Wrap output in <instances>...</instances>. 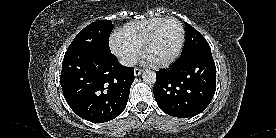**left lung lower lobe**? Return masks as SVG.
Returning <instances> with one entry per match:
<instances>
[{
    "label": "left lung lower lobe",
    "mask_w": 276,
    "mask_h": 138,
    "mask_svg": "<svg viewBox=\"0 0 276 138\" xmlns=\"http://www.w3.org/2000/svg\"><path fill=\"white\" fill-rule=\"evenodd\" d=\"M153 88L159 108L187 118L204 111L216 90V67L211 50H200L156 73Z\"/></svg>",
    "instance_id": "1"
}]
</instances>
